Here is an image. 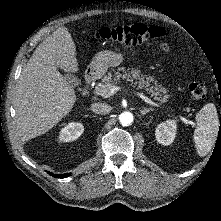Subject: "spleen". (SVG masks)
<instances>
[{
	"label": "spleen",
	"instance_id": "obj_1",
	"mask_svg": "<svg viewBox=\"0 0 221 221\" xmlns=\"http://www.w3.org/2000/svg\"><path fill=\"white\" fill-rule=\"evenodd\" d=\"M197 127L193 134L196 151L199 156H206L215 144L218 130L219 119L215 105L206 104L196 115Z\"/></svg>",
	"mask_w": 221,
	"mask_h": 221
}]
</instances>
